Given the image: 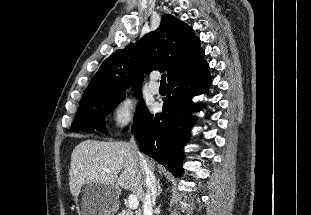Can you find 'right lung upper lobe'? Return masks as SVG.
Returning a JSON list of instances; mask_svg holds the SVG:
<instances>
[{
  "instance_id": "obj_1",
  "label": "right lung upper lobe",
  "mask_w": 311,
  "mask_h": 215,
  "mask_svg": "<svg viewBox=\"0 0 311 215\" xmlns=\"http://www.w3.org/2000/svg\"><path fill=\"white\" fill-rule=\"evenodd\" d=\"M204 62V51L190 26L171 14L160 26L139 41L109 56L93 76L80 103L90 99L125 93L133 86L141 89L144 73L164 70L168 82Z\"/></svg>"
}]
</instances>
